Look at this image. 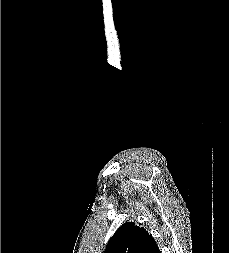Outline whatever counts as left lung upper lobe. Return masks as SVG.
<instances>
[{
	"instance_id": "1",
	"label": "left lung upper lobe",
	"mask_w": 229,
	"mask_h": 253,
	"mask_svg": "<svg viewBox=\"0 0 229 253\" xmlns=\"http://www.w3.org/2000/svg\"><path fill=\"white\" fill-rule=\"evenodd\" d=\"M158 246L144 228L124 223L111 237L104 253H156Z\"/></svg>"
}]
</instances>
